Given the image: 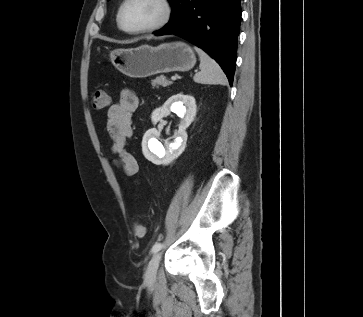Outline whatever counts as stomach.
<instances>
[{
    "mask_svg": "<svg viewBox=\"0 0 363 317\" xmlns=\"http://www.w3.org/2000/svg\"><path fill=\"white\" fill-rule=\"evenodd\" d=\"M110 60L123 74L145 78L158 73L189 71L196 63V56L188 44L177 41L156 47L141 45L116 49L110 53Z\"/></svg>",
    "mask_w": 363,
    "mask_h": 317,
    "instance_id": "obj_1",
    "label": "stomach"
}]
</instances>
